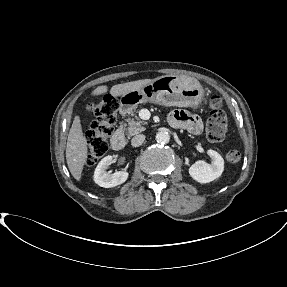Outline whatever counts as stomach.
Here are the masks:
<instances>
[{
	"mask_svg": "<svg viewBox=\"0 0 287 287\" xmlns=\"http://www.w3.org/2000/svg\"><path fill=\"white\" fill-rule=\"evenodd\" d=\"M203 96L204 90L196 80L177 75H164L139 90L122 94L119 111L121 114H129L138 104L146 102L164 106L197 107Z\"/></svg>",
	"mask_w": 287,
	"mask_h": 287,
	"instance_id": "obj_1",
	"label": "stomach"
}]
</instances>
